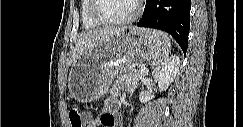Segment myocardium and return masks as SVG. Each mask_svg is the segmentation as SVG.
Instances as JSON below:
<instances>
[{
    "label": "myocardium",
    "mask_w": 243,
    "mask_h": 127,
    "mask_svg": "<svg viewBox=\"0 0 243 127\" xmlns=\"http://www.w3.org/2000/svg\"><path fill=\"white\" fill-rule=\"evenodd\" d=\"M98 1L99 0H92V7H91V15L93 19L98 22L101 25L104 26H120V25H125L128 23H131L135 21L139 15L142 12L143 8V1L142 0H135L136 6L134 12L122 19H117V20H108L103 18L99 13H98Z\"/></svg>",
    "instance_id": "myocardium-1"
}]
</instances>
